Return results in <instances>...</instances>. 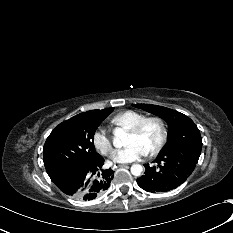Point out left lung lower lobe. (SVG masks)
Masks as SVG:
<instances>
[{"label": "left lung lower lobe", "instance_id": "obj_1", "mask_svg": "<svg viewBox=\"0 0 233 233\" xmlns=\"http://www.w3.org/2000/svg\"><path fill=\"white\" fill-rule=\"evenodd\" d=\"M199 157L181 152H161L155 166L145 164V173L137 179L147 192H167L184 183L195 169Z\"/></svg>", "mask_w": 233, "mask_h": 233}]
</instances>
